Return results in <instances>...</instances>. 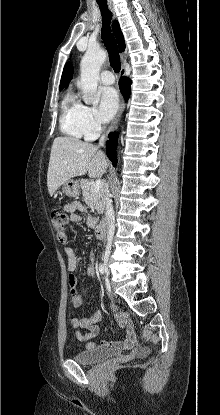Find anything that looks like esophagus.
<instances>
[{"instance_id":"obj_1","label":"esophagus","mask_w":220,"mask_h":415,"mask_svg":"<svg viewBox=\"0 0 220 415\" xmlns=\"http://www.w3.org/2000/svg\"><path fill=\"white\" fill-rule=\"evenodd\" d=\"M120 58H121V62H122V67H121L120 74H121V75H124V73H125V68H124V66H123V63H124V61H125V56H124V54H123V53H121V54H120ZM123 109H124V99H123V97L121 96V99H120V104H119V108H118L117 114H116V116H115L114 120L112 121L111 126H110V128H109V131H108V132H110V131H112L113 129H115V128H116L117 124L119 123V121H120V119H121V115H122Z\"/></svg>"}]
</instances>
